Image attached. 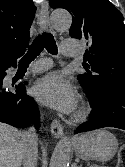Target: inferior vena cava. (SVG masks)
<instances>
[{"label": "inferior vena cava", "instance_id": "602c4592", "mask_svg": "<svg viewBox=\"0 0 125 167\" xmlns=\"http://www.w3.org/2000/svg\"><path fill=\"white\" fill-rule=\"evenodd\" d=\"M21 152L24 167L37 166V134L34 127L22 132Z\"/></svg>", "mask_w": 125, "mask_h": 167}]
</instances>
